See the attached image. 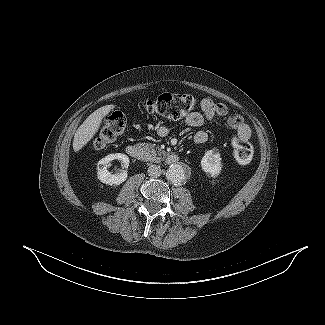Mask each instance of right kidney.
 Listing matches in <instances>:
<instances>
[{
  "label": "right kidney",
  "mask_w": 325,
  "mask_h": 325,
  "mask_svg": "<svg viewBox=\"0 0 325 325\" xmlns=\"http://www.w3.org/2000/svg\"><path fill=\"white\" fill-rule=\"evenodd\" d=\"M118 159L121 161L123 168H128L129 157L122 153H113L102 158L97 164L98 179L108 185H120L127 179V171L123 170L120 173L112 174L107 170L108 163Z\"/></svg>",
  "instance_id": "ca27d5eb"
}]
</instances>
